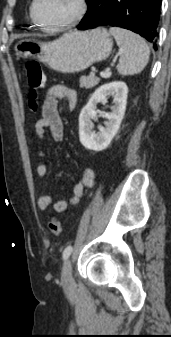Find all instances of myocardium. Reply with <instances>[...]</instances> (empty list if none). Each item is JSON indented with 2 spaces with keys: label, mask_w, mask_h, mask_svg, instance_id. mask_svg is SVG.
<instances>
[{
  "label": "myocardium",
  "mask_w": 171,
  "mask_h": 337,
  "mask_svg": "<svg viewBox=\"0 0 171 337\" xmlns=\"http://www.w3.org/2000/svg\"><path fill=\"white\" fill-rule=\"evenodd\" d=\"M76 2H77V10L71 18H69L67 21H65L61 24L47 25V24L41 22L40 19L37 16V14H36V5L38 3V0H32L31 6H30L31 19L34 21V23L37 26L41 27L42 29H44L46 31L56 32V31L65 30V29L73 26L78 21H80L85 16V14L87 13V10H88L87 0H76Z\"/></svg>",
  "instance_id": "obj_1"
}]
</instances>
